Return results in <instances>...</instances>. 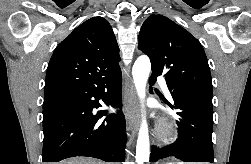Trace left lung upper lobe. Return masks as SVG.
<instances>
[{
  "mask_svg": "<svg viewBox=\"0 0 251 164\" xmlns=\"http://www.w3.org/2000/svg\"><path fill=\"white\" fill-rule=\"evenodd\" d=\"M138 49L149 56L152 74H164L167 85L212 96L211 74L202 45L169 18L149 16L140 30Z\"/></svg>",
  "mask_w": 251,
  "mask_h": 164,
  "instance_id": "left-lung-upper-lobe-1",
  "label": "left lung upper lobe"
}]
</instances>
